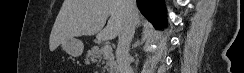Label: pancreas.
<instances>
[{
  "label": "pancreas",
  "mask_w": 244,
  "mask_h": 73,
  "mask_svg": "<svg viewBox=\"0 0 244 73\" xmlns=\"http://www.w3.org/2000/svg\"><path fill=\"white\" fill-rule=\"evenodd\" d=\"M103 59L102 63L106 61V68H109V73H115L116 71V62L114 55L111 52L104 53L103 48H99L98 46H94L90 50L87 51L86 54V63H97L99 64Z\"/></svg>",
  "instance_id": "cf45deb5"
}]
</instances>
